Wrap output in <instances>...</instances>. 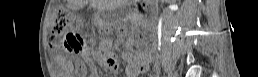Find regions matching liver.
Wrapping results in <instances>:
<instances>
[{
    "label": "liver",
    "instance_id": "6515ba94",
    "mask_svg": "<svg viewBox=\"0 0 258 77\" xmlns=\"http://www.w3.org/2000/svg\"><path fill=\"white\" fill-rule=\"evenodd\" d=\"M74 5L84 6L87 2L82 0H70ZM91 7L100 11L119 5L121 0H90Z\"/></svg>",
    "mask_w": 258,
    "mask_h": 77
}]
</instances>
